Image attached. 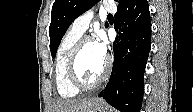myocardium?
Masks as SVG:
<instances>
[{
	"instance_id": "1",
	"label": "myocardium",
	"mask_w": 193,
	"mask_h": 112,
	"mask_svg": "<svg viewBox=\"0 0 193 112\" xmlns=\"http://www.w3.org/2000/svg\"><path fill=\"white\" fill-rule=\"evenodd\" d=\"M88 42H95L91 36H82L74 44L67 63L68 77L72 85L79 90H91L101 85L108 77L110 71V61L105 58V66L101 75L94 82H85L78 73V59L83 46Z\"/></svg>"
}]
</instances>
